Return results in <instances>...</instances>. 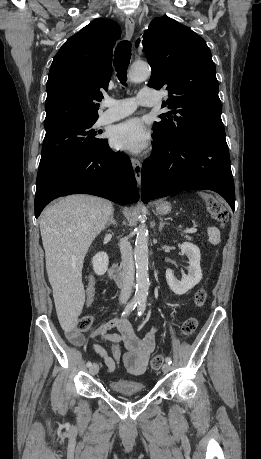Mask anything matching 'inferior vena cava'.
Masks as SVG:
<instances>
[{
    "label": "inferior vena cava",
    "instance_id": "obj_1",
    "mask_svg": "<svg viewBox=\"0 0 261 459\" xmlns=\"http://www.w3.org/2000/svg\"><path fill=\"white\" fill-rule=\"evenodd\" d=\"M120 251L122 258V274H121V291L119 300L121 303H126L131 296L134 285V261L132 246L127 239L120 242Z\"/></svg>",
    "mask_w": 261,
    "mask_h": 459
}]
</instances>
